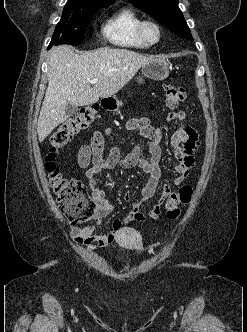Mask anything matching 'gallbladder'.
<instances>
[{
  "label": "gallbladder",
  "mask_w": 247,
  "mask_h": 332,
  "mask_svg": "<svg viewBox=\"0 0 247 332\" xmlns=\"http://www.w3.org/2000/svg\"><path fill=\"white\" fill-rule=\"evenodd\" d=\"M77 111V107L71 104H68L65 109L66 116H71Z\"/></svg>",
  "instance_id": "bac80fb5"
}]
</instances>
